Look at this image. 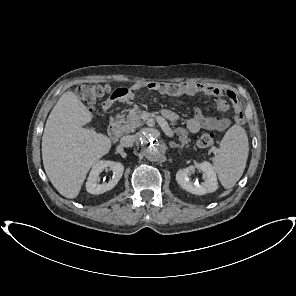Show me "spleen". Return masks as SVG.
Here are the masks:
<instances>
[{
  "instance_id": "3e777b00",
  "label": "spleen",
  "mask_w": 296,
  "mask_h": 296,
  "mask_svg": "<svg viewBox=\"0 0 296 296\" xmlns=\"http://www.w3.org/2000/svg\"><path fill=\"white\" fill-rule=\"evenodd\" d=\"M249 152L248 137L239 125H233L224 135L213 164L222 186L232 188L241 178Z\"/></svg>"
}]
</instances>
